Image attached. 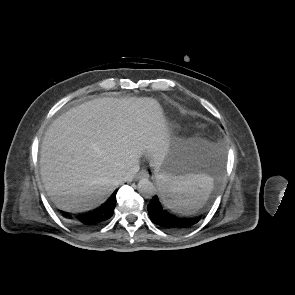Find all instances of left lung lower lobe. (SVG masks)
<instances>
[{
  "label": "left lung lower lobe",
  "mask_w": 295,
  "mask_h": 295,
  "mask_svg": "<svg viewBox=\"0 0 295 295\" xmlns=\"http://www.w3.org/2000/svg\"><path fill=\"white\" fill-rule=\"evenodd\" d=\"M206 158L210 167L215 165V154L211 150L207 152ZM148 213L151 221L170 231H183L195 225L199 220L198 218H188L175 215L168 212L161 204L159 198L154 196L148 205Z\"/></svg>",
  "instance_id": "left-lung-lower-lobe-1"
}]
</instances>
